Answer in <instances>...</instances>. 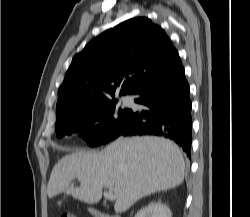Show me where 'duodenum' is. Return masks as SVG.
Here are the masks:
<instances>
[{"label":"duodenum","mask_w":250,"mask_h":217,"mask_svg":"<svg viewBox=\"0 0 250 217\" xmlns=\"http://www.w3.org/2000/svg\"><path fill=\"white\" fill-rule=\"evenodd\" d=\"M92 214L94 217H120L117 215H109V214L103 213V212L96 210V209L92 210Z\"/></svg>","instance_id":"1"}]
</instances>
